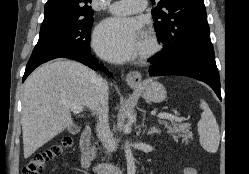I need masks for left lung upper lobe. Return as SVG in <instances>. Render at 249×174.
I'll return each mask as SVG.
<instances>
[{
    "label": "left lung upper lobe",
    "instance_id": "left-lung-upper-lobe-1",
    "mask_svg": "<svg viewBox=\"0 0 249 174\" xmlns=\"http://www.w3.org/2000/svg\"><path fill=\"white\" fill-rule=\"evenodd\" d=\"M158 41L164 44L160 54L175 60L191 53L213 49L203 0H151Z\"/></svg>",
    "mask_w": 249,
    "mask_h": 174
}]
</instances>
